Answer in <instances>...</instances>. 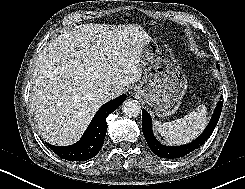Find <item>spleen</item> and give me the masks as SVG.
I'll return each instance as SVG.
<instances>
[{
	"label": "spleen",
	"mask_w": 245,
	"mask_h": 189,
	"mask_svg": "<svg viewBox=\"0 0 245 189\" xmlns=\"http://www.w3.org/2000/svg\"><path fill=\"white\" fill-rule=\"evenodd\" d=\"M156 130L168 144H184L196 138L207 125L205 105L197 107L183 118L162 123L155 121Z\"/></svg>",
	"instance_id": "3e777b00"
}]
</instances>
